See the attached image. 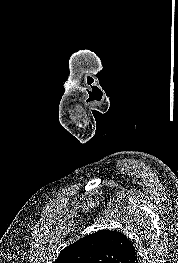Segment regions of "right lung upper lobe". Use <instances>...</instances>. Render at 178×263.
I'll list each match as a JSON object with an SVG mask.
<instances>
[{
  "label": "right lung upper lobe",
  "instance_id": "right-lung-upper-lobe-1",
  "mask_svg": "<svg viewBox=\"0 0 178 263\" xmlns=\"http://www.w3.org/2000/svg\"><path fill=\"white\" fill-rule=\"evenodd\" d=\"M54 263H140L131 241L122 233L101 230L64 248Z\"/></svg>",
  "mask_w": 178,
  "mask_h": 263
}]
</instances>
